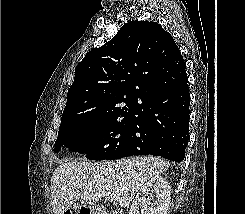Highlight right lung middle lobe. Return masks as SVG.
Returning <instances> with one entry per match:
<instances>
[{
  "mask_svg": "<svg viewBox=\"0 0 245 214\" xmlns=\"http://www.w3.org/2000/svg\"><path fill=\"white\" fill-rule=\"evenodd\" d=\"M135 110L96 118L88 114L62 115L55 152L65 145L69 150L85 153L90 160H111L127 143Z\"/></svg>",
  "mask_w": 245,
  "mask_h": 214,
  "instance_id": "dd1d6c3e",
  "label": "right lung middle lobe"
}]
</instances>
